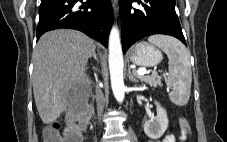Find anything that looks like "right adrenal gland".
Segmentation results:
<instances>
[{"label": "right adrenal gland", "mask_w": 227, "mask_h": 142, "mask_svg": "<svg viewBox=\"0 0 227 142\" xmlns=\"http://www.w3.org/2000/svg\"><path fill=\"white\" fill-rule=\"evenodd\" d=\"M92 57L98 61V57H97L95 50L93 51ZM94 69L97 70V68H94Z\"/></svg>", "instance_id": "right-adrenal-gland-1"}]
</instances>
